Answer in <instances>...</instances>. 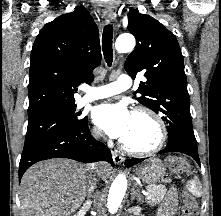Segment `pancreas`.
Masks as SVG:
<instances>
[{"label":"pancreas","mask_w":221,"mask_h":216,"mask_svg":"<svg viewBox=\"0 0 221 216\" xmlns=\"http://www.w3.org/2000/svg\"><path fill=\"white\" fill-rule=\"evenodd\" d=\"M149 195L146 201L149 205H154L161 202L166 194V187L164 185H149L147 186Z\"/></svg>","instance_id":"1"}]
</instances>
